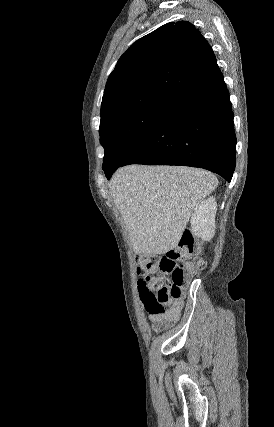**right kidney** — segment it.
Segmentation results:
<instances>
[{"instance_id": "ca27d5eb", "label": "right kidney", "mask_w": 274, "mask_h": 427, "mask_svg": "<svg viewBox=\"0 0 274 427\" xmlns=\"http://www.w3.org/2000/svg\"><path fill=\"white\" fill-rule=\"evenodd\" d=\"M217 212L216 198L209 196L207 200L196 206L190 219L192 231L203 241H210L215 233V215Z\"/></svg>"}]
</instances>
